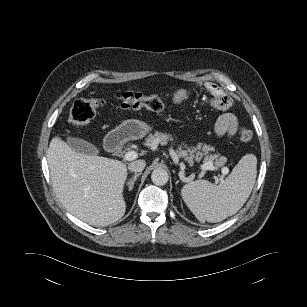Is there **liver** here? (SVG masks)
I'll list each match as a JSON object with an SVG mask.
<instances>
[{
	"label": "liver",
	"mask_w": 307,
	"mask_h": 307,
	"mask_svg": "<svg viewBox=\"0 0 307 307\" xmlns=\"http://www.w3.org/2000/svg\"><path fill=\"white\" fill-rule=\"evenodd\" d=\"M47 161L54 192L72 215L98 227L123 217L125 163L76 152L57 136L50 142Z\"/></svg>",
	"instance_id": "6515ba94"
}]
</instances>
